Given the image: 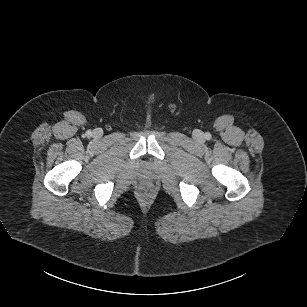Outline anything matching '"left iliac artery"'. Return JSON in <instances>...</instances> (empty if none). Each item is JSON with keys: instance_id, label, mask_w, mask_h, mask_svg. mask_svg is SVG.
Returning <instances> with one entry per match:
<instances>
[{"instance_id": "left-iliac-artery-1", "label": "left iliac artery", "mask_w": 307, "mask_h": 307, "mask_svg": "<svg viewBox=\"0 0 307 307\" xmlns=\"http://www.w3.org/2000/svg\"><path fill=\"white\" fill-rule=\"evenodd\" d=\"M210 137H211V135H210L209 133H206V134H205V138H206L207 140H209Z\"/></svg>"}]
</instances>
